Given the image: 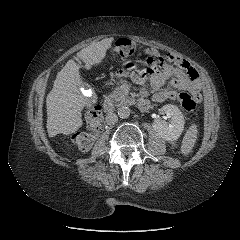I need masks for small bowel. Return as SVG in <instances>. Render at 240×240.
<instances>
[{"instance_id": "small-bowel-1", "label": "small bowel", "mask_w": 240, "mask_h": 240, "mask_svg": "<svg viewBox=\"0 0 240 240\" xmlns=\"http://www.w3.org/2000/svg\"><path fill=\"white\" fill-rule=\"evenodd\" d=\"M145 54L148 57L143 65L147 68L134 79L149 82L155 90L154 102L176 100V90L188 91L197 102L201 100L198 73L186 60L172 53L163 55L154 48H147Z\"/></svg>"}]
</instances>
